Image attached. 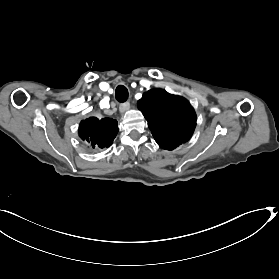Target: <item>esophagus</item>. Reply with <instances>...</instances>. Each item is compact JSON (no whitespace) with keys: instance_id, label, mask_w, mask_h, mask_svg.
I'll return each mask as SVG.
<instances>
[{"instance_id":"obj_1","label":"esophagus","mask_w":279,"mask_h":279,"mask_svg":"<svg viewBox=\"0 0 279 279\" xmlns=\"http://www.w3.org/2000/svg\"><path fill=\"white\" fill-rule=\"evenodd\" d=\"M129 108H130V103L128 101H126L125 103H122L119 106V112L122 114V113L126 112Z\"/></svg>"}]
</instances>
